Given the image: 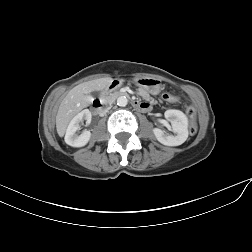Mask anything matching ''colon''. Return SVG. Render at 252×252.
I'll use <instances>...</instances> for the list:
<instances>
[{
    "label": "colon",
    "mask_w": 252,
    "mask_h": 252,
    "mask_svg": "<svg viewBox=\"0 0 252 252\" xmlns=\"http://www.w3.org/2000/svg\"><path fill=\"white\" fill-rule=\"evenodd\" d=\"M163 99L172 103L178 101V97L168 93L163 94ZM187 114L190 118L189 131L191 134H195L197 131V124H196L197 109L193 105H189L187 107Z\"/></svg>",
    "instance_id": "obj_1"
}]
</instances>
